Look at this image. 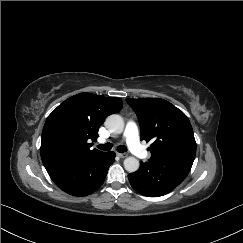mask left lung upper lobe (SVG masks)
I'll list each match as a JSON object with an SVG mask.
<instances>
[{"instance_id": "5c2ea615", "label": "left lung upper lobe", "mask_w": 243, "mask_h": 243, "mask_svg": "<svg viewBox=\"0 0 243 243\" xmlns=\"http://www.w3.org/2000/svg\"><path fill=\"white\" fill-rule=\"evenodd\" d=\"M135 111L141 140H152L149 161L189 155L195 156L196 142L188 117L170 102L160 98L126 99Z\"/></svg>"}]
</instances>
